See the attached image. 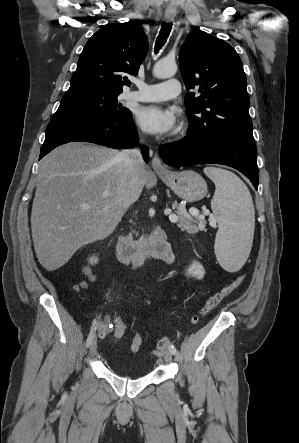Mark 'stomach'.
<instances>
[{
    "label": "stomach",
    "instance_id": "stomach-1",
    "mask_svg": "<svg viewBox=\"0 0 299 443\" xmlns=\"http://www.w3.org/2000/svg\"><path fill=\"white\" fill-rule=\"evenodd\" d=\"M160 179L180 198L188 202L201 200L207 194V184L192 170L158 173Z\"/></svg>",
    "mask_w": 299,
    "mask_h": 443
}]
</instances>
